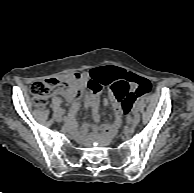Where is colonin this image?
Returning a JSON list of instances; mask_svg holds the SVG:
<instances>
[{"label": "colon", "mask_w": 194, "mask_h": 193, "mask_svg": "<svg viewBox=\"0 0 194 193\" xmlns=\"http://www.w3.org/2000/svg\"><path fill=\"white\" fill-rule=\"evenodd\" d=\"M116 80L117 81L113 83H109V93L115 101L120 102L122 107L128 111L131 107V101H129V98H133L135 95L133 91L135 89L142 91L146 88L147 84L132 74L120 76ZM79 81V73L59 78L54 77L44 81H36L30 86V92L34 103L36 105L43 106L46 104L51 90L57 86H66L70 89L69 95L71 97H79L81 94ZM109 84L92 82L90 87L94 92L98 93L102 89V85Z\"/></svg>", "instance_id": "5ec220e1"}]
</instances>
